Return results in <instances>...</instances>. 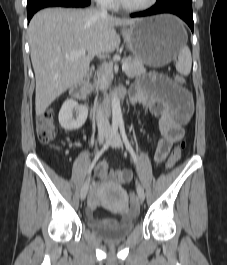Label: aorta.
<instances>
[{
    "label": "aorta",
    "mask_w": 227,
    "mask_h": 265,
    "mask_svg": "<svg viewBox=\"0 0 227 265\" xmlns=\"http://www.w3.org/2000/svg\"><path fill=\"white\" fill-rule=\"evenodd\" d=\"M112 122L119 123L122 121V112L119 98L116 94L112 96Z\"/></svg>",
    "instance_id": "aorta-1"
}]
</instances>
